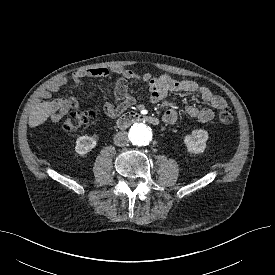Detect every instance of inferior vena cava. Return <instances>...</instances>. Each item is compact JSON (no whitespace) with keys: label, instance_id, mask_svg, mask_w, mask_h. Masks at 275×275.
<instances>
[{"label":"inferior vena cava","instance_id":"obj_1","mask_svg":"<svg viewBox=\"0 0 275 275\" xmlns=\"http://www.w3.org/2000/svg\"><path fill=\"white\" fill-rule=\"evenodd\" d=\"M129 143L128 134L126 132H118L114 136V144L116 146L122 147Z\"/></svg>","mask_w":275,"mask_h":275}]
</instances>
